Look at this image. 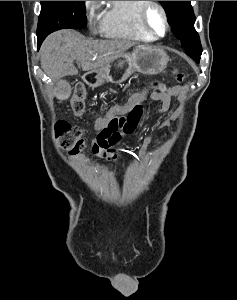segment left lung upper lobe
<instances>
[{
	"label": "left lung upper lobe",
	"instance_id": "left-lung-upper-lobe-1",
	"mask_svg": "<svg viewBox=\"0 0 237 300\" xmlns=\"http://www.w3.org/2000/svg\"><path fill=\"white\" fill-rule=\"evenodd\" d=\"M166 11L172 31L181 41L186 54L197 63L200 61L202 47L195 31V16L190 1H159Z\"/></svg>",
	"mask_w": 237,
	"mask_h": 300
}]
</instances>
